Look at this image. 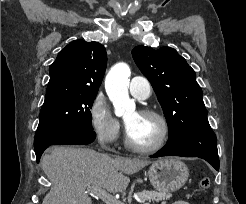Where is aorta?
<instances>
[{"instance_id":"obj_1","label":"aorta","mask_w":246,"mask_h":204,"mask_svg":"<svg viewBox=\"0 0 246 204\" xmlns=\"http://www.w3.org/2000/svg\"><path fill=\"white\" fill-rule=\"evenodd\" d=\"M130 68L126 63L114 65L105 79V88L114 106L115 115L130 117L135 113V102L128 93Z\"/></svg>"}]
</instances>
